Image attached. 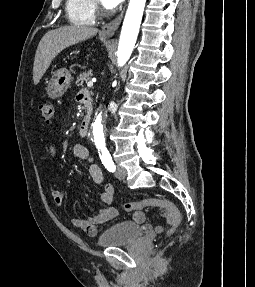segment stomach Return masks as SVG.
I'll return each mask as SVG.
<instances>
[{
  "mask_svg": "<svg viewBox=\"0 0 255 287\" xmlns=\"http://www.w3.org/2000/svg\"><path fill=\"white\" fill-rule=\"evenodd\" d=\"M72 82V76L68 70H63V72H56L52 80H50L47 88L48 98L51 100H56V98H62L66 90L70 88Z\"/></svg>",
  "mask_w": 255,
  "mask_h": 287,
  "instance_id": "obj_1",
  "label": "stomach"
}]
</instances>
